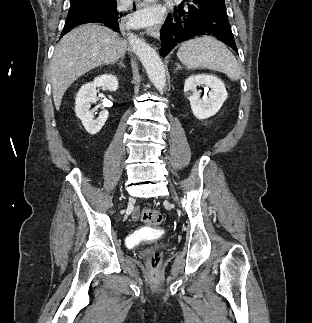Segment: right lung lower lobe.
Here are the masks:
<instances>
[{
    "instance_id": "98d812e1",
    "label": "right lung lower lobe",
    "mask_w": 312,
    "mask_h": 323,
    "mask_svg": "<svg viewBox=\"0 0 312 323\" xmlns=\"http://www.w3.org/2000/svg\"><path fill=\"white\" fill-rule=\"evenodd\" d=\"M128 21L129 12L118 10L116 0H99L69 9L61 37L75 26L94 22L103 23L113 31L120 32L127 27Z\"/></svg>"
}]
</instances>
